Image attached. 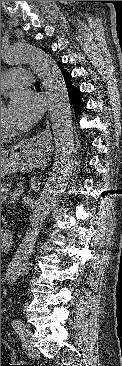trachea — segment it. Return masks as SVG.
<instances>
[{"mask_svg":"<svg viewBox=\"0 0 122 366\" xmlns=\"http://www.w3.org/2000/svg\"><path fill=\"white\" fill-rule=\"evenodd\" d=\"M35 87H36V88H40V83H39V82H36V83H35Z\"/></svg>","mask_w":122,"mask_h":366,"instance_id":"3493384b","label":"trachea"}]
</instances>
